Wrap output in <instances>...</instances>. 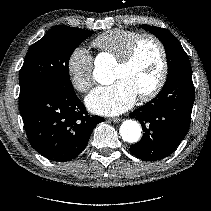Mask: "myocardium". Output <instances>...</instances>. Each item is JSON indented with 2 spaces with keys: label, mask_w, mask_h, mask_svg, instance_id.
Masks as SVG:
<instances>
[{
  "label": "myocardium",
  "mask_w": 211,
  "mask_h": 211,
  "mask_svg": "<svg viewBox=\"0 0 211 211\" xmlns=\"http://www.w3.org/2000/svg\"><path fill=\"white\" fill-rule=\"evenodd\" d=\"M145 40H150L156 44V46L158 47L160 51V58H161V70H160L158 80L156 81L155 85L152 87L151 90L139 95V99L141 101L147 102L154 99L161 92V90L163 89L166 83L167 76H168V55H167L166 47L164 43L162 42V40L154 34H150V33L141 34L130 44V46L128 47L126 52L123 54V56L117 60V65L121 67L129 66L134 60L139 46Z\"/></svg>",
  "instance_id": "myocardium-1"
}]
</instances>
